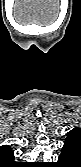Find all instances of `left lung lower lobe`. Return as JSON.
<instances>
[{
  "label": "left lung lower lobe",
  "mask_w": 81,
  "mask_h": 167,
  "mask_svg": "<svg viewBox=\"0 0 81 167\" xmlns=\"http://www.w3.org/2000/svg\"><path fill=\"white\" fill-rule=\"evenodd\" d=\"M81 160V149L75 144L64 143L59 156L58 167H79Z\"/></svg>",
  "instance_id": "left-lung-lower-lobe-1"
}]
</instances>
